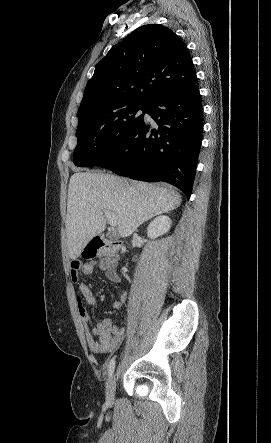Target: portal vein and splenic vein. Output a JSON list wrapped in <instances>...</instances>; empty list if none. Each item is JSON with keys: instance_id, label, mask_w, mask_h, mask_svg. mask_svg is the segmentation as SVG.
Here are the masks:
<instances>
[{"instance_id": "obj_1", "label": "portal vein and splenic vein", "mask_w": 271, "mask_h": 443, "mask_svg": "<svg viewBox=\"0 0 271 443\" xmlns=\"http://www.w3.org/2000/svg\"><path fill=\"white\" fill-rule=\"evenodd\" d=\"M104 214L110 225H118V220H116V216H114L113 212H109V210H104Z\"/></svg>"}]
</instances>
